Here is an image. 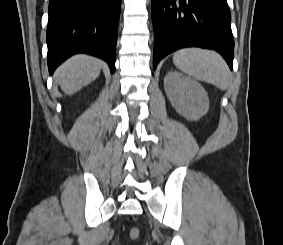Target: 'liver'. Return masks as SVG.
<instances>
[{
	"instance_id": "6515ba94",
	"label": "liver",
	"mask_w": 283,
	"mask_h": 245,
	"mask_svg": "<svg viewBox=\"0 0 283 245\" xmlns=\"http://www.w3.org/2000/svg\"><path fill=\"white\" fill-rule=\"evenodd\" d=\"M101 60L77 55L63 63L55 72V79L67 95H72L93 82L100 74Z\"/></svg>"
}]
</instances>
